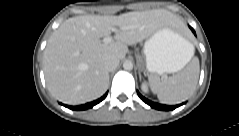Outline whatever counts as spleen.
I'll use <instances>...</instances> for the list:
<instances>
[{"mask_svg": "<svg viewBox=\"0 0 239 136\" xmlns=\"http://www.w3.org/2000/svg\"><path fill=\"white\" fill-rule=\"evenodd\" d=\"M193 55L194 47L192 45L189 61ZM199 71V60L194 58L181 72L173 76L160 79L158 75L152 74L149 76L151 90L157 94L158 99L164 104L180 103L196 89Z\"/></svg>", "mask_w": 239, "mask_h": 136, "instance_id": "obj_1", "label": "spleen"}]
</instances>
